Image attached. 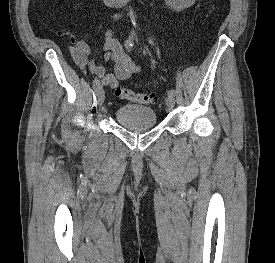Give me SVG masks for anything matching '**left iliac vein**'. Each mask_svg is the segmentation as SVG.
Masks as SVG:
<instances>
[{
  "label": "left iliac vein",
  "instance_id": "4c4485c4",
  "mask_svg": "<svg viewBox=\"0 0 275 263\" xmlns=\"http://www.w3.org/2000/svg\"><path fill=\"white\" fill-rule=\"evenodd\" d=\"M166 105L169 107V108H173L175 106V97L172 96V95H168L166 97Z\"/></svg>",
  "mask_w": 275,
  "mask_h": 263
}]
</instances>
